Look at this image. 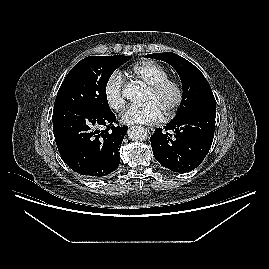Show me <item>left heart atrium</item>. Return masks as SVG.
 Instances as JSON below:
<instances>
[{"mask_svg":"<svg viewBox=\"0 0 269 269\" xmlns=\"http://www.w3.org/2000/svg\"><path fill=\"white\" fill-rule=\"evenodd\" d=\"M162 113L153 102L145 103L142 106H131L122 115V122L125 124H153L158 122Z\"/></svg>","mask_w":269,"mask_h":269,"instance_id":"39dd6f15","label":"left heart atrium"}]
</instances>
